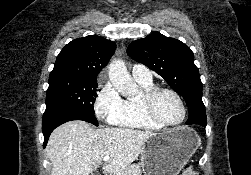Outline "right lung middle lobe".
<instances>
[{"mask_svg":"<svg viewBox=\"0 0 251 175\" xmlns=\"http://www.w3.org/2000/svg\"><path fill=\"white\" fill-rule=\"evenodd\" d=\"M96 91V84L49 78L45 112L74 110L94 115Z\"/></svg>","mask_w":251,"mask_h":175,"instance_id":"1","label":"right lung middle lobe"}]
</instances>
